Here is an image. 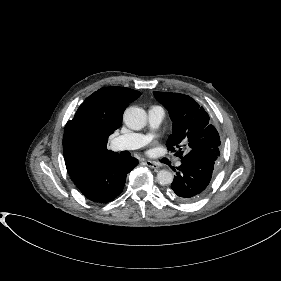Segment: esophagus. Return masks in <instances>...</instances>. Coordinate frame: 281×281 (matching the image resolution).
I'll list each match as a JSON object with an SVG mask.
<instances>
[{"label":"esophagus","instance_id":"1","mask_svg":"<svg viewBox=\"0 0 281 281\" xmlns=\"http://www.w3.org/2000/svg\"><path fill=\"white\" fill-rule=\"evenodd\" d=\"M145 164H146L148 167H150V168H154V169L160 168V165H159V164L154 163V162H152V161H150V160H146V161H145Z\"/></svg>","mask_w":281,"mask_h":281}]
</instances>
